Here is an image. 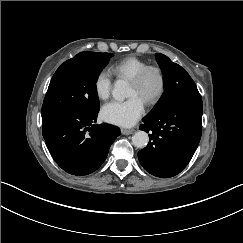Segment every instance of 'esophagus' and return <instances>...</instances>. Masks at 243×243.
Returning <instances> with one entry per match:
<instances>
[{
	"instance_id": "esophagus-1",
	"label": "esophagus",
	"mask_w": 243,
	"mask_h": 243,
	"mask_svg": "<svg viewBox=\"0 0 243 243\" xmlns=\"http://www.w3.org/2000/svg\"><path fill=\"white\" fill-rule=\"evenodd\" d=\"M132 133H133V130L121 128V134H123V135H130Z\"/></svg>"
}]
</instances>
